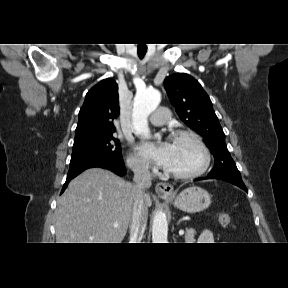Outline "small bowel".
Listing matches in <instances>:
<instances>
[{
    "label": "small bowel",
    "mask_w": 288,
    "mask_h": 288,
    "mask_svg": "<svg viewBox=\"0 0 288 288\" xmlns=\"http://www.w3.org/2000/svg\"><path fill=\"white\" fill-rule=\"evenodd\" d=\"M199 243L209 244L214 243V236L210 230H203L198 238Z\"/></svg>",
    "instance_id": "1"
}]
</instances>
